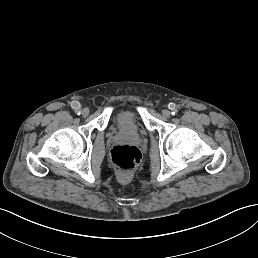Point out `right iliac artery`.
Returning <instances> with one entry per match:
<instances>
[{
  "mask_svg": "<svg viewBox=\"0 0 258 258\" xmlns=\"http://www.w3.org/2000/svg\"><path fill=\"white\" fill-rule=\"evenodd\" d=\"M75 113H76L77 115H81V111H80V110H76Z\"/></svg>",
  "mask_w": 258,
  "mask_h": 258,
  "instance_id": "82829eb1",
  "label": "right iliac artery"
}]
</instances>
